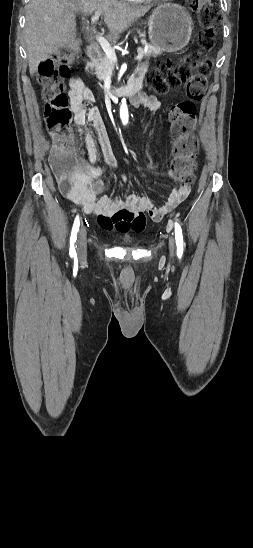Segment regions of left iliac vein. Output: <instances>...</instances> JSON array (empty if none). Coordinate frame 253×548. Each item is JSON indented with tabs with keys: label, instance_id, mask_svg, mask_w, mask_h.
<instances>
[{
	"label": "left iliac vein",
	"instance_id": "left-iliac-vein-1",
	"mask_svg": "<svg viewBox=\"0 0 253 548\" xmlns=\"http://www.w3.org/2000/svg\"><path fill=\"white\" fill-rule=\"evenodd\" d=\"M174 248H175V241H174V237H170L169 238V251H170V255H173L174 253Z\"/></svg>",
	"mask_w": 253,
	"mask_h": 548
}]
</instances>
